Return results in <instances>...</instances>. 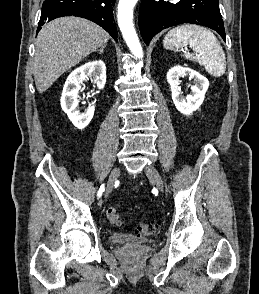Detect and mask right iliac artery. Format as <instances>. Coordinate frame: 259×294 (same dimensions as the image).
Wrapping results in <instances>:
<instances>
[{"instance_id": "82829eb1", "label": "right iliac artery", "mask_w": 259, "mask_h": 294, "mask_svg": "<svg viewBox=\"0 0 259 294\" xmlns=\"http://www.w3.org/2000/svg\"><path fill=\"white\" fill-rule=\"evenodd\" d=\"M105 188H104V184L100 186L99 191H98V197H101L102 193L104 192Z\"/></svg>"}]
</instances>
